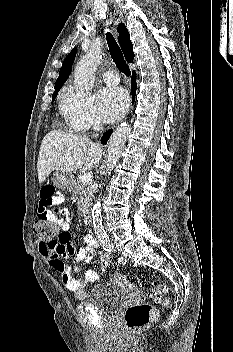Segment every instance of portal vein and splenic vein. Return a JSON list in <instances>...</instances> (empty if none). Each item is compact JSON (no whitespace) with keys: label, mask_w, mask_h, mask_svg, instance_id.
<instances>
[{"label":"portal vein and splenic vein","mask_w":233,"mask_h":352,"mask_svg":"<svg viewBox=\"0 0 233 352\" xmlns=\"http://www.w3.org/2000/svg\"><path fill=\"white\" fill-rule=\"evenodd\" d=\"M80 180L83 184L88 183L91 181V174L90 173H85L80 177Z\"/></svg>","instance_id":"portal-vein-and-splenic-vein-1"}]
</instances>
